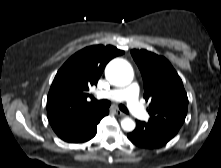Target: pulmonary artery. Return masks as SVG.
<instances>
[{
    "mask_svg": "<svg viewBox=\"0 0 221 168\" xmlns=\"http://www.w3.org/2000/svg\"><path fill=\"white\" fill-rule=\"evenodd\" d=\"M139 86L137 83H132L128 87L114 89L99 94L100 98L113 101L125 100L129 111L138 119L146 120L149 115L138 100Z\"/></svg>",
    "mask_w": 221,
    "mask_h": 168,
    "instance_id": "pulmonary-artery-1",
    "label": "pulmonary artery"
}]
</instances>
